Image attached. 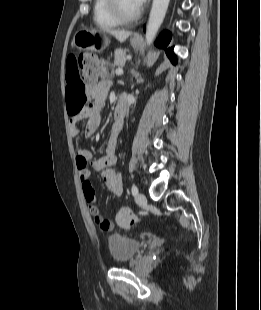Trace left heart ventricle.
<instances>
[{
	"label": "left heart ventricle",
	"mask_w": 261,
	"mask_h": 310,
	"mask_svg": "<svg viewBox=\"0 0 261 310\" xmlns=\"http://www.w3.org/2000/svg\"><path fill=\"white\" fill-rule=\"evenodd\" d=\"M118 1L122 12L126 15H132L139 10L134 0H118Z\"/></svg>",
	"instance_id": "obj_1"
}]
</instances>
